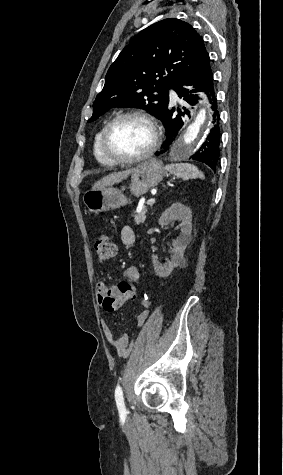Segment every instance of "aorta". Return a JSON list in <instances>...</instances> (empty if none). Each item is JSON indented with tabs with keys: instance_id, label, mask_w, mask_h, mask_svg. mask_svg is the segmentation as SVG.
Returning <instances> with one entry per match:
<instances>
[{
	"instance_id": "obj_1",
	"label": "aorta",
	"mask_w": 283,
	"mask_h": 475,
	"mask_svg": "<svg viewBox=\"0 0 283 475\" xmlns=\"http://www.w3.org/2000/svg\"><path fill=\"white\" fill-rule=\"evenodd\" d=\"M212 116L206 106L200 108L186 128L178 135L169 150V156L173 159H182L191 156L205 140L212 126Z\"/></svg>"
}]
</instances>
